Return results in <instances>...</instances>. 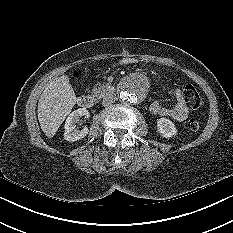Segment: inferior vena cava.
Masks as SVG:
<instances>
[{
    "label": "inferior vena cava",
    "instance_id": "1",
    "mask_svg": "<svg viewBox=\"0 0 233 233\" xmlns=\"http://www.w3.org/2000/svg\"><path fill=\"white\" fill-rule=\"evenodd\" d=\"M115 100H116V96H115V95H113V94H112V95H108V96H106V97L102 100V105H103V106H108V105L114 103Z\"/></svg>",
    "mask_w": 233,
    "mask_h": 233
}]
</instances>
